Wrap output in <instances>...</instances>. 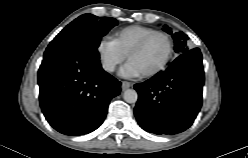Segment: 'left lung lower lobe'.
<instances>
[{
    "label": "left lung lower lobe",
    "instance_id": "1",
    "mask_svg": "<svg viewBox=\"0 0 248 158\" xmlns=\"http://www.w3.org/2000/svg\"><path fill=\"white\" fill-rule=\"evenodd\" d=\"M204 71L198 48L180 54L165 71L134 85L139 125L155 134H176L191 126L202 105Z\"/></svg>",
    "mask_w": 248,
    "mask_h": 158
}]
</instances>
